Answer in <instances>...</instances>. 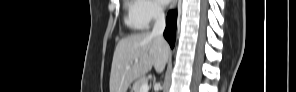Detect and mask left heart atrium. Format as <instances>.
I'll list each match as a JSON object with an SVG mask.
<instances>
[{
  "instance_id": "obj_1",
  "label": "left heart atrium",
  "mask_w": 296,
  "mask_h": 92,
  "mask_svg": "<svg viewBox=\"0 0 296 92\" xmlns=\"http://www.w3.org/2000/svg\"><path fill=\"white\" fill-rule=\"evenodd\" d=\"M160 4L164 5V4H167L168 2L166 0H159L158 1Z\"/></svg>"
}]
</instances>
